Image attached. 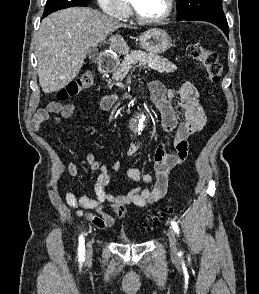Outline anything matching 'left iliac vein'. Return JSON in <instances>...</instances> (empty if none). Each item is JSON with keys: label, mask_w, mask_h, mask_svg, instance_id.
<instances>
[{"label": "left iliac vein", "mask_w": 259, "mask_h": 294, "mask_svg": "<svg viewBox=\"0 0 259 294\" xmlns=\"http://www.w3.org/2000/svg\"><path fill=\"white\" fill-rule=\"evenodd\" d=\"M167 236L170 243V251L172 255H176L177 253V240L175 236V232L172 229H168Z\"/></svg>", "instance_id": "obj_1"}]
</instances>
